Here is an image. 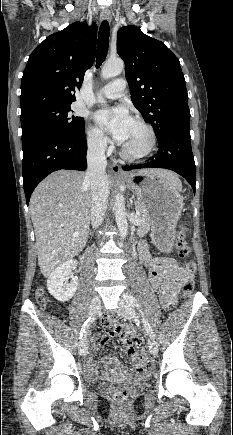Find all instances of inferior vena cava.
Segmentation results:
<instances>
[{
  "label": "inferior vena cava",
  "instance_id": "1",
  "mask_svg": "<svg viewBox=\"0 0 233 435\" xmlns=\"http://www.w3.org/2000/svg\"><path fill=\"white\" fill-rule=\"evenodd\" d=\"M106 143L99 140L88 148L85 180L91 184V223L97 228L103 221L108 205L109 183L106 175Z\"/></svg>",
  "mask_w": 233,
  "mask_h": 435
}]
</instances>
